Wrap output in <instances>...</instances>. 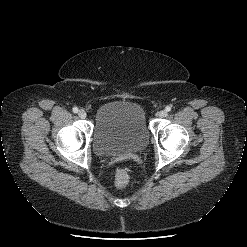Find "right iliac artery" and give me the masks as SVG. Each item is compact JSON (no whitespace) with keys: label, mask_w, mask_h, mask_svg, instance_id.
Segmentation results:
<instances>
[{"label":"right iliac artery","mask_w":247,"mask_h":247,"mask_svg":"<svg viewBox=\"0 0 247 247\" xmlns=\"http://www.w3.org/2000/svg\"><path fill=\"white\" fill-rule=\"evenodd\" d=\"M73 112H74V113H78V108H77V107H74V108H73Z\"/></svg>","instance_id":"right-iliac-artery-1"}]
</instances>
